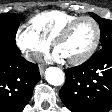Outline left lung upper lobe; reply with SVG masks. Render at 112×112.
Wrapping results in <instances>:
<instances>
[{
  "mask_svg": "<svg viewBox=\"0 0 112 112\" xmlns=\"http://www.w3.org/2000/svg\"><path fill=\"white\" fill-rule=\"evenodd\" d=\"M89 14L99 23L102 48L112 46V21L101 18L92 12Z\"/></svg>",
  "mask_w": 112,
  "mask_h": 112,
  "instance_id": "left-lung-upper-lobe-1",
  "label": "left lung upper lobe"
}]
</instances>
